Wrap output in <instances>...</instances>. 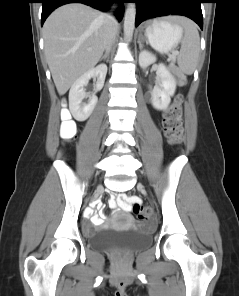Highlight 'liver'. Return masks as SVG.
I'll use <instances>...</instances> for the list:
<instances>
[{"label": "liver", "mask_w": 239, "mask_h": 296, "mask_svg": "<svg viewBox=\"0 0 239 296\" xmlns=\"http://www.w3.org/2000/svg\"><path fill=\"white\" fill-rule=\"evenodd\" d=\"M106 26L105 14L80 3L59 7L45 21V55L60 95L101 59Z\"/></svg>", "instance_id": "6515ba94"}]
</instances>
